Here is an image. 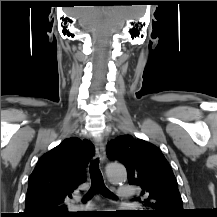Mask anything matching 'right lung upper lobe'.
Masks as SVG:
<instances>
[{
  "label": "right lung upper lobe",
  "mask_w": 217,
  "mask_h": 217,
  "mask_svg": "<svg viewBox=\"0 0 217 217\" xmlns=\"http://www.w3.org/2000/svg\"><path fill=\"white\" fill-rule=\"evenodd\" d=\"M95 153L88 140L65 139L44 154L29 177L23 217L74 216L64 200L85 182V168Z\"/></svg>",
  "instance_id": "right-lung-upper-lobe-1"
}]
</instances>
